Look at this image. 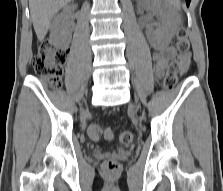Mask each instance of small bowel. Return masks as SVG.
Returning <instances> with one entry per match:
<instances>
[{"label":"small bowel","mask_w":223,"mask_h":191,"mask_svg":"<svg viewBox=\"0 0 223 191\" xmlns=\"http://www.w3.org/2000/svg\"><path fill=\"white\" fill-rule=\"evenodd\" d=\"M174 58H178L181 66V72H185L189 67L190 54H178L173 47H155V51L153 53L155 71L158 74H162L168 62Z\"/></svg>","instance_id":"1"}]
</instances>
